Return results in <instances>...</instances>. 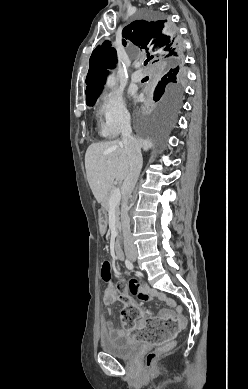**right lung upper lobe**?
Wrapping results in <instances>:
<instances>
[{
  "label": "right lung upper lobe",
  "instance_id": "right-lung-upper-lobe-1",
  "mask_svg": "<svg viewBox=\"0 0 248 389\" xmlns=\"http://www.w3.org/2000/svg\"><path fill=\"white\" fill-rule=\"evenodd\" d=\"M166 21L136 20L122 31L123 45L132 42L140 46L164 71L176 63H182V47L175 45L168 30ZM117 62L115 48L109 41H104L93 52L89 60V71L86 77V98L103 89L107 69L113 68Z\"/></svg>",
  "mask_w": 248,
  "mask_h": 389
}]
</instances>
